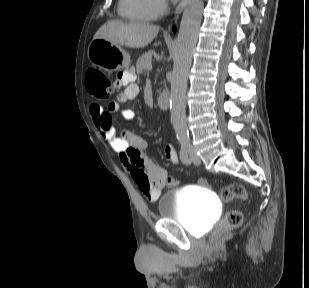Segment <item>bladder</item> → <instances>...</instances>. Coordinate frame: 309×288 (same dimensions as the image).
<instances>
[{"mask_svg": "<svg viewBox=\"0 0 309 288\" xmlns=\"http://www.w3.org/2000/svg\"><path fill=\"white\" fill-rule=\"evenodd\" d=\"M159 217L176 219L193 233L205 232L216 220L219 202L203 187L164 192L157 199Z\"/></svg>", "mask_w": 309, "mask_h": 288, "instance_id": "bladder-1", "label": "bladder"}]
</instances>
